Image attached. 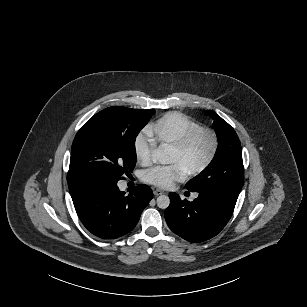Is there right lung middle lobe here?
<instances>
[{
  "label": "right lung middle lobe",
  "instance_id": "obj_1",
  "mask_svg": "<svg viewBox=\"0 0 307 307\" xmlns=\"http://www.w3.org/2000/svg\"><path fill=\"white\" fill-rule=\"evenodd\" d=\"M155 111L106 108L78 131L71 148L69 185L86 180H120L136 165L135 139Z\"/></svg>",
  "mask_w": 307,
  "mask_h": 307
}]
</instances>
